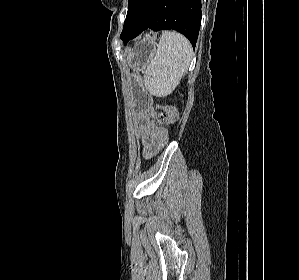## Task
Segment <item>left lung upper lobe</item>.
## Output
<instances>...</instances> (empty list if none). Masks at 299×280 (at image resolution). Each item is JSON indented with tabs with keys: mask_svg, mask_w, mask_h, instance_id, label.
I'll return each instance as SVG.
<instances>
[{
	"mask_svg": "<svg viewBox=\"0 0 299 280\" xmlns=\"http://www.w3.org/2000/svg\"><path fill=\"white\" fill-rule=\"evenodd\" d=\"M133 0H128V12H129V10H130V4H131V2H132ZM128 12H127V15H128ZM127 18V17H126ZM125 23V22H124Z\"/></svg>",
	"mask_w": 299,
	"mask_h": 280,
	"instance_id": "left-lung-upper-lobe-1",
	"label": "left lung upper lobe"
}]
</instances>
